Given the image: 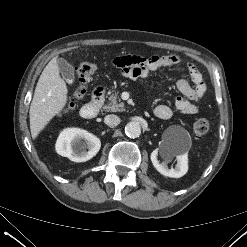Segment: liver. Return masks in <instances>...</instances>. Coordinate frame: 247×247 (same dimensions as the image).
I'll return each mask as SVG.
<instances>
[{
    "label": "liver",
    "instance_id": "1",
    "mask_svg": "<svg viewBox=\"0 0 247 247\" xmlns=\"http://www.w3.org/2000/svg\"><path fill=\"white\" fill-rule=\"evenodd\" d=\"M67 93L66 83L59 74L57 59L53 58L40 75L30 105V131L33 139L66 106Z\"/></svg>",
    "mask_w": 247,
    "mask_h": 247
}]
</instances>
